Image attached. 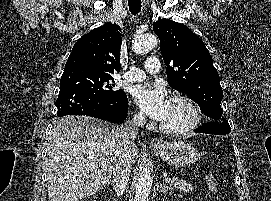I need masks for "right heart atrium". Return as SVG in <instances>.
I'll list each match as a JSON object with an SVG mask.
<instances>
[{
    "label": "right heart atrium",
    "mask_w": 271,
    "mask_h": 201,
    "mask_svg": "<svg viewBox=\"0 0 271 201\" xmlns=\"http://www.w3.org/2000/svg\"><path fill=\"white\" fill-rule=\"evenodd\" d=\"M133 119L136 121V122H142L144 120V117L142 115V113L140 112H137L133 115Z\"/></svg>",
    "instance_id": "right-heart-atrium-1"
}]
</instances>
